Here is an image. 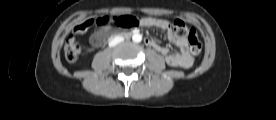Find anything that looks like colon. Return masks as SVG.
I'll use <instances>...</instances> for the list:
<instances>
[{
    "label": "colon",
    "mask_w": 276,
    "mask_h": 120,
    "mask_svg": "<svg viewBox=\"0 0 276 120\" xmlns=\"http://www.w3.org/2000/svg\"><path fill=\"white\" fill-rule=\"evenodd\" d=\"M137 19L133 16H120V17H102L97 20H86L77 25L74 32L79 34L86 31L90 26L96 24L99 27H120L131 28L136 26ZM173 31L177 38L185 39L188 41L190 53L198 56L202 50V43L196 31L188 27L183 21L175 20L173 23ZM80 44L76 37L71 35L67 38L64 46V54L68 61L74 62L80 55Z\"/></svg>",
    "instance_id": "1"
}]
</instances>
